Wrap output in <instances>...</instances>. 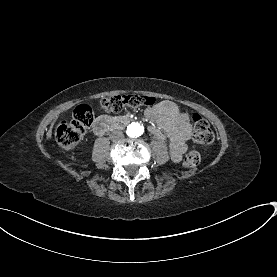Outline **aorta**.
Instances as JSON below:
<instances>
[{
	"mask_svg": "<svg viewBox=\"0 0 277 277\" xmlns=\"http://www.w3.org/2000/svg\"><path fill=\"white\" fill-rule=\"evenodd\" d=\"M144 132V127L138 122H132L127 126L126 133L131 138H137Z\"/></svg>",
	"mask_w": 277,
	"mask_h": 277,
	"instance_id": "1",
	"label": "aorta"
}]
</instances>
